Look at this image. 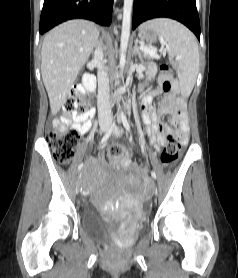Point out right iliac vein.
<instances>
[{"instance_id": "63e3f726", "label": "right iliac vein", "mask_w": 238, "mask_h": 278, "mask_svg": "<svg viewBox=\"0 0 238 278\" xmlns=\"http://www.w3.org/2000/svg\"><path fill=\"white\" fill-rule=\"evenodd\" d=\"M101 131L103 133L106 132L107 131V126H102ZM78 189H79V186H75V195H79Z\"/></svg>"}]
</instances>
